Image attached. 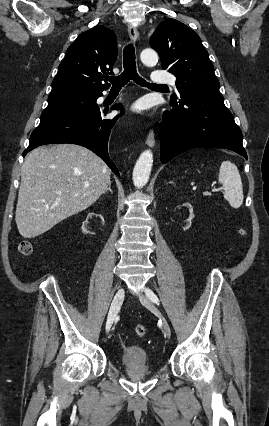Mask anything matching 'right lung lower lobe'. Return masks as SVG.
<instances>
[{
    "label": "right lung lower lobe",
    "mask_w": 269,
    "mask_h": 426,
    "mask_svg": "<svg viewBox=\"0 0 269 426\" xmlns=\"http://www.w3.org/2000/svg\"><path fill=\"white\" fill-rule=\"evenodd\" d=\"M100 96L102 92L98 93V97ZM112 109L122 110L123 107L116 104ZM107 113L108 109H100L95 102L77 112L41 121L31 134L29 146L23 152V157L34 148L45 144H77L96 153L119 176L115 164L109 158L107 147L111 128L122 113L113 119H105Z\"/></svg>",
    "instance_id": "obj_1"
}]
</instances>
